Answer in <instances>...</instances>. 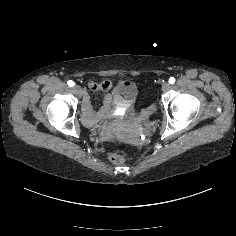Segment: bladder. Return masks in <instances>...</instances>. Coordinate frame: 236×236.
Returning a JSON list of instances; mask_svg holds the SVG:
<instances>
[{"instance_id": "1", "label": "bladder", "mask_w": 236, "mask_h": 236, "mask_svg": "<svg viewBox=\"0 0 236 236\" xmlns=\"http://www.w3.org/2000/svg\"><path fill=\"white\" fill-rule=\"evenodd\" d=\"M113 93L115 98L130 103L137 97L138 86L135 81L119 80L113 87Z\"/></svg>"}]
</instances>
